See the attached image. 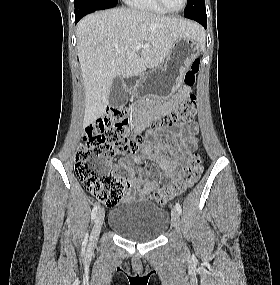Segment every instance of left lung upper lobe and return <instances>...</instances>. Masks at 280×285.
Wrapping results in <instances>:
<instances>
[{"label": "left lung upper lobe", "mask_w": 280, "mask_h": 285, "mask_svg": "<svg viewBox=\"0 0 280 285\" xmlns=\"http://www.w3.org/2000/svg\"><path fill=\"white\" fill-rule=\"evenodd\" d=\"M202 13H206L204 0H187V6L184 10L185 17Z\"/></svg>", "instance_id": "1"}]
</instances>
